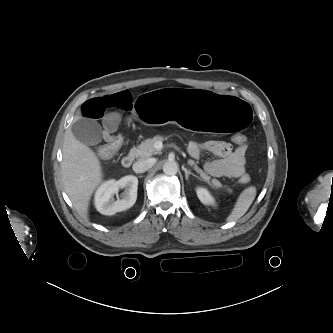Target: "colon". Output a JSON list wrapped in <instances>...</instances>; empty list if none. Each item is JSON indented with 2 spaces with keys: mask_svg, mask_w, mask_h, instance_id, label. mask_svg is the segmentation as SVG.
Listing matches in <instances>:
<instances>
[{
  "mask_svg": "<svg viewBox=\"0 0 333 333\" xmlns=\"http://www.w3.org/2000/svg\"><path fill=\"white\" fill-rule=\"evenodd\" d=\"M106 140V144L100 146L97 149V155L101 159H109L113 157L123 143V138L121 136H112L108 134L106 135ZM232 140L238 146L247 143V138L241 133L234 134L232 136ZM239 180L242 184H248L251 180V177L248 174H243Z\"/></svg>",
  "mask_w": 333,
  "mask_h": 333,
  "instance_id": "obj_1",
  "label": "colon"
}]
</instances>
